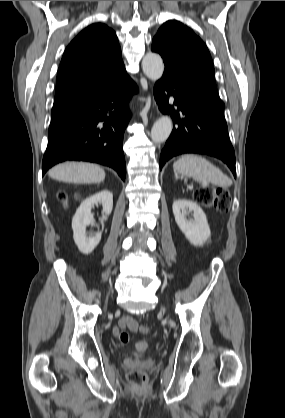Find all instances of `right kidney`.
Returning <instances> with one entry per match:
<instances>
[{
    "label": "right kidney",
    "instance_id": "1",
    "mask_svg": "<svg viewBox=\"0 0 285 418\" xmlns=\"http://www.w3.org/2000/svg\"><path fill=\"white\" fill-rule=\"evenodd\" d=\"M98 204L102 205V213L105 214L104 220H107V217L113 208V195L108 190H103L85 199L80 204L72 219L75 244L79 251L86 255L90 254L101 240V232H98L91 237H88L86 232V227L88 225H94L91 209L94 205Z\"/></svg>",
    "mask_w": 285,
    "mask_h": 418
}]
</instances>
